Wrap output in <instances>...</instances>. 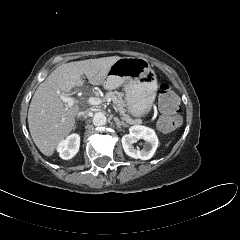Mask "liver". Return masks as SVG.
Wrapping results in <instances>:
<instances>
[{
  "label": "liver",
  "instance_id": "liver-1",
  "mask_svg": "<svg viewBox=\"0 0 240 240\" xmlns=\"http://www.w3.org/2000/svg\"><path fill=\"white\" fill-rule=\"evenodd\" d=\"M121 57L75 61L58 66L35 91L28 110L31 137L38 149L51 156L59 143L69 135L80 106H67L59 93L66 95L84 84L83 74L92 85H103L112 65Z\"/></svg>",
  "mask_w": 240,
  "mask_h": 240
}]
</instances>
